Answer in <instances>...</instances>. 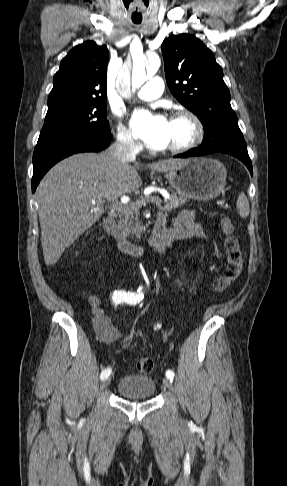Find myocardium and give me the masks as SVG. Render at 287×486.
Listing matches in <instances>:
<instances>
[{"mask_svg": "<svg viewBox=\"0 0 287 486\" xmlns=\"http://www.w3.org/2000/svg\"><path fill=\"white\" fill-rule=\"evenodd\" d=\"M171 119H184L188 121L192 128V135L187 142L168 147L164 150V152L169 154L185 153L194 149L203 141L204 126L200 118L195 113L187 109L178 110L172 115Z\"/></svg>", "mask_w": 287, "mask_h": 486, "instance_id": "obj_1", "label": "myocardium"}]
</instances>
